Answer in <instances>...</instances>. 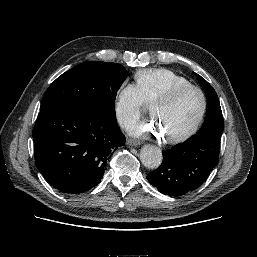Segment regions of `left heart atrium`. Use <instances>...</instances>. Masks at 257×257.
<instances>
[{
  "label": "left heart atrium",
  "instance_id": "39dd6f15",
  "mask_svg": "<svg viewBox=\"0 0 257 257\" xmlns=\"http://www.w3.org/2000/svg\"><path fill=\"white\" fill-rule=\"evenodd\" d=\"M135 131L137 133H144V134H149V133H154L152 129L147 128L146 126L140 125L136 127Z\"/></svg>",
  "mask_w": 257,
  "mask_h": 257
}]
</instances>
